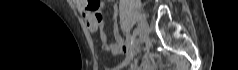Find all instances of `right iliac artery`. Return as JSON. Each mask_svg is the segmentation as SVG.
I'll use <instances>...</instances> for the list:
<instances>
[{
	"label": "right iliac artery",
	"mask_w": 238,
	"mask_h": 70,
	"mask_svg": "<svg viewBox=\"0 0 238 70\" xmlns=\"http://www.w3.org/2000/svg\"><path fill=\"white\" fill-rule=\"evenodd\" d=\"M139 34V29L138 28H135L133 30V36H137Z\"/></svg>",
	"instance_id": "82829eb1"
}]
</instances>
